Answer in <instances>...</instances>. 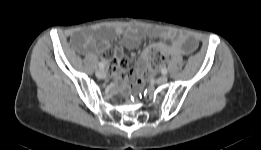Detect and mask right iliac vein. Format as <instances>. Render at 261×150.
I'll list each match as a JSON object with an SVG mask.
<instances>
[{
    "label": "right iliac vein",
    "mask_w": 261,
    "mask_h": 150,
    "mask_svg": "<svg viewBox=\"0 0 261 150\" xmlns=\"http://www.w3.org/2000/svg\"><path fill=\"white\" fill-rule=\"evenodd\" d=\"M96 76L98 78L103 79V78L106 77V72L104 70H102V69H99V70L96 71Z\"/></svg>",
    "instance_id": "right-iliac-vein-1"
}]
</instances>
